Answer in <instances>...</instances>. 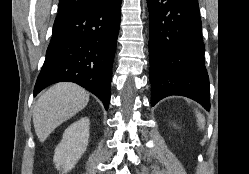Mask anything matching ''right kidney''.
<instances>
[{"label": "right kidney", "mask_w": 249, "mask_h": 174, "mask_svg": "<svg viewBox=\"0 0 249 174\" xmlns=\"http://www.w3.org/2000/svg\"><path fill=\"white\" fill-rule=\"evenodd\" d=\"M90 120L83 117L72 123L63 133L61 142L55 149L53 161L57 170L66 174L72 170L87 149Z\"/></svg>", "instance_id": "1"}]
</instances>
